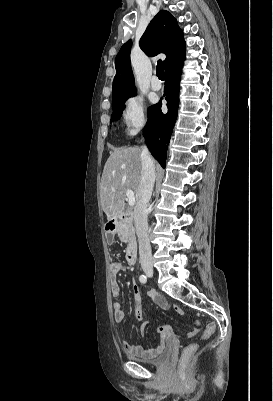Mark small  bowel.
<instances>
[{
  "label": "small bowel",
  "instance_id": "obj_1",
  "mask_svg": "<svg viewBox=\"0 0 273 401\" xmlns=\"http://www.w3.org/2000/svg\"><path fill=\"white\" fill-rule=\"evenodd\" d=\"M123 270H124V263L122 261L116 260V261L111 262V264H110V273H111L110 287H111V293H112L113 297L115 298V300L112 304V308H113L114 321L116 323H123V322H125V320L127 318V314L123 308L122 303L117 299L120 295V285H119V281H118V275ZM132 291H133L135 298L138 300L141 295V290L135 283H133V285H132ZM151 299H152L153 303L160 309H162V310L169 309V304L162 295L153 293L151 295ZM174 311L176 313H179V316L182 319H185L188 316L187 311H185V310L181 311V308L179 306H176L174 308ZM136 318L140 321L143 320V314L140 311L139 306L136 307ZM157 331L162 338V342L157 347L156 351L161 352V351H165V350L169 349L171 346V340L173 339L172 327L170 325H161L157 328ZM198 332H199V329L197 327H194L189 335L191 338L194 339L197 337ZM122 348L125 352L130 353V354L153 355L152 352H146L142 348L131 345L128 342H123Z\"/></svg>",
  "mask_w": 273,
  "mask_h": 401
}]
</instances>
